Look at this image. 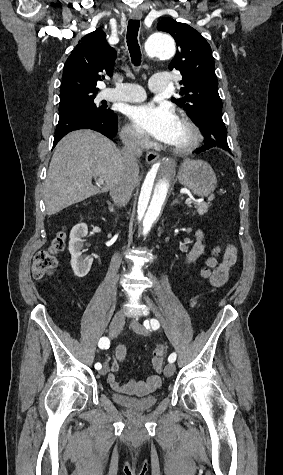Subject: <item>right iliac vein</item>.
Returning <instances> with one entry per match:
<instances>
[{
	"mask_svg": "<svg viewBox=\"0 0 283 475\" xmlns=\"http://www.w3.org/2000/svg\"><path fill=\"white\" fill-rule=\"evenodd\" d=\"M125 323V316L123 313H118L112 319L110 326H109V335L110 337H116L120 331L123 329ZM108 365L106 363L103 364L102 369L100 370V375H105L108 372Z\"/></svg>",
	"mask_w": 283,
	"mask_h": 475,
	"instance_id": "1",
	"label": "right iliac vein"
}]
</instances>
